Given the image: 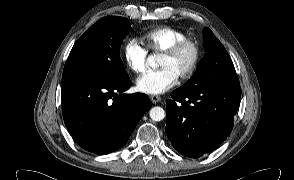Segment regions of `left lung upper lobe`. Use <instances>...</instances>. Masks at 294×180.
Here are the masks:
<instances>
[{
	"label": "left lung upper lobe",
	"mask_w": 294,
	"mask_h": 180,
	"mask_svg": "<svg viewBox=\"0 0 294 180\" xmlns=\"http://www.w3.org/2000/svg\"><path fill=\"white\" fill-rule=\"evenodd\" d=\"M203 33L206 52L196 73L181 88L189 90L212 85L239 86L234 65L224 46L209 28H204Z\"/></svg>",
	"instance_id": "5c2ea615"
}]
</instances>
